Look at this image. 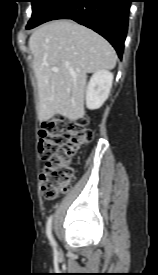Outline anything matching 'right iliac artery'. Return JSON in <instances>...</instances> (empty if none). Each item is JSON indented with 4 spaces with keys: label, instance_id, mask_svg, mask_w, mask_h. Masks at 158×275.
<instances>
[{
    "label": "right iliac artery",
    "instance_id": "obj_1",
    "mask_svg": "<svg viewBox=\"0 0 158 275\" xmlns=\"http://www.w3.org/2000/svg\"><path fill=\"white\" fill-rule=\"evenodd\" d=\"M51 225H52V216L49 217L48 221H47V225H46V234L47 237L51 243V245L55 248L56 247V242L52 236V232H51Z\"/></svg>",
    "mask_w": 158,
    "mask_h": 275
}]
</instances>
